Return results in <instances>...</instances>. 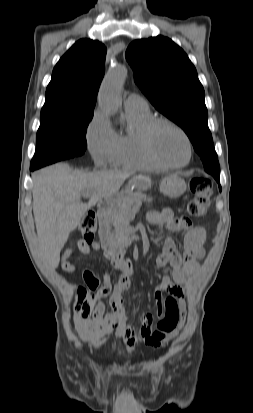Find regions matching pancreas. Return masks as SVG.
I'll list each match as a JSON object with an SVG mask.
<instances>
[{
	"label": "pancreas",
	"mask_w": 253,
	"mask_h": 413,
	"mask_svg": "<svg viewBox=\"0 0 253 413\" xmlns=\"http://www.w3.org/2000/svg\"><path fill=\"white\" fill-rule=\"evenodd\" d=\"M142 202H151L146 194L132 193L124 197L122 204L104 213L105 221L113 226L115 239L120 247H128L132 243L130 220L133 217V207L139 208Z\"/></svg>",
	"instance_id": "cf45deb5"
}]
</instances>
